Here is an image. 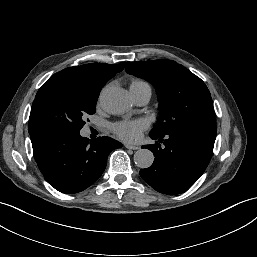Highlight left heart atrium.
I'll return each mask as SVG.
<instances>
[{"label":"left heart atrium","mask_w":257,"mask_h":257,"mask_svg":"<svg viewBox=\"0 0 257 257\" xmlns=\"http://www.w3.org/2000/svg\"><path fill=\"white\" fill-rule=\"evenodd\" d=\"M147 127V122L144 120L138 121H123L113 125L115 134L124 141H137L142 131Z\"/></svg>","instance_id":"39dd6f15"}]
</instances>
